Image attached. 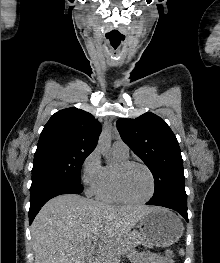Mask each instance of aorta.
<instances>
[{
    "mask_svg": "<svg viewBox=\"0 0 220 263\" xmlns=\"http://www.w3.org/2000/svg\"><path fill=\"white\" fill-rule=\"evenodd\" d=\"M99 146L102 147L104 153L106 154L109 146H110V137L107 133H103L98 142Z\"/></svg>",
    "mask_w": 220,
    "mask_h": 263,
    "instance_id": "obj_1",
    "label": "aorta"
}]
</instances>
